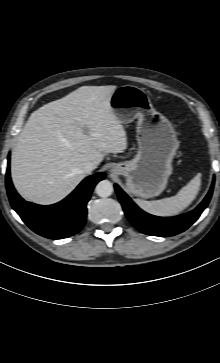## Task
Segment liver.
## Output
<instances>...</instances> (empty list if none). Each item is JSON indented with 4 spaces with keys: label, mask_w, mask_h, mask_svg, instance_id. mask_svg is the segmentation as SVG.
<instances>
[{
    "label": "liver",
    "mask_w": 220,
    "mask_h": 363,
    "mask_svg": "<svg viewBox=\"0 0 220 363\" xmlns=\"http://www.w3.org/2000/svg\"><path fill=\"white\" fill-rule=\"evenodd\" d=\"M114 85L82 86L43 105L26 122L12 152L11 177L18 193L49 205L69 195L104 153L127 148L126 131L110 106Z\"/></svg>",
    "instance_id": "6515ba94"
}]
</instances>
